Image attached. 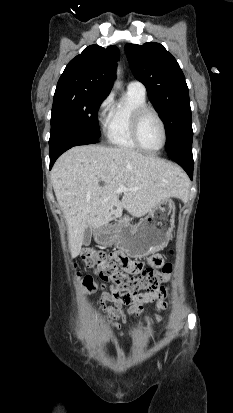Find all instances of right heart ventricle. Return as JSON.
Masks as SVG:
<instances>
[{"label":"right heart ventricle","instance_id":"e07e8e85","mask_svg":"<svg viewBox=\"0 0 233 413\" xmlns=\"http://www.w3.org/2000/svg\"><path fill=\"white\" fill-rule=\"evenodd\" d=\"M144 105H147L145 93L129 89L121 100L112 105L104 128L109 144L126 150L138 149L131 137L130 125L134 111Z\"/></svg>","mask_w":233,"mask_h":413}]
</instances>
